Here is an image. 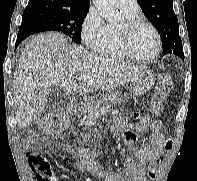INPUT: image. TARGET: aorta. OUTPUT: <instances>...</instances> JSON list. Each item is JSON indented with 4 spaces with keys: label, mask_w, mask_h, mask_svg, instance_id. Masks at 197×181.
<instances>
[{
    "label": "aorta",
    "mask_w": 197,
    "mask_h": 181,
    "mask_svg": "<svg viewBox=\"0 0 197 181\" xmlns=\"http://www.w3.org/2000/svg\"><path fill=\"white\" fill-rule=\"evenodd\" d=\"M93 3L101 16L111 23L120 20L116 0H93Z\"/></svg>",
    "instance_id": "762f6f07"
}]
</instances>
